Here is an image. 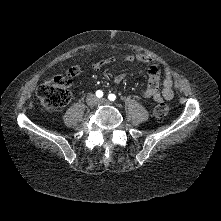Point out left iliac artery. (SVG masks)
Segmentation results:
<instances>
[{
  "instance_id": "obj_1",
  "label": "left iliac artery",
  "mask_w": 221,
  "mask_h": 221,
  "mask_svg": "<svg viewBox=\"0 0 221 221\" xmlns=\"http://www.w3.org/2000/svg\"><path fill=\"white\" fill-rule=\"evenodd\" d=\"M108 99L111 100V101H114V100H116V95L115 94H109Z\"/></svg>"
}]
</instances>
